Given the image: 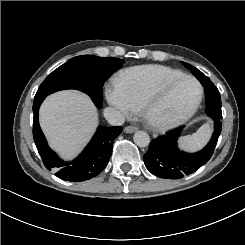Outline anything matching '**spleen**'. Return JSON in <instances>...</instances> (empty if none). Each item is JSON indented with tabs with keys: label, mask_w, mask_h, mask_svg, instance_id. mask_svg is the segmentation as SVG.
<instances>
[{
	"label": "spleen",
	"mask_w": 245,
	"mask_h": 245,
	"mask_svg": "<svg viewBox=\"0 0 245 245\" xmlns=\"http://www.w3.org/2000/svg\"><path fill=\"white\" fill-rule=\"evenodd\" d=\"M213 129L211 122L203 124L195 133L192 135H186L180 137L179 147L188 152H195L202 149L209 141Z\"/></svg>",
	"instance_id": "spleen-1"
}]
</instances>
